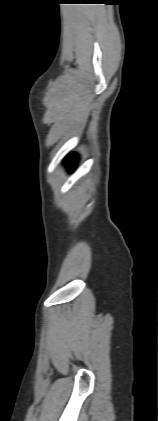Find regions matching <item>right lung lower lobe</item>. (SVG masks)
Listing matches in <instances>:
<instances>
[{
	"mask_svg": "<svg viewBox=\"0 0 158 421\" xmlns=\"http://www.w3.org/2000/svg\"><path fill=\"white\" fill-rule=\"evenodd\" d=\"M66 162H67V164H68L69 168H70V169H73L74 164H75V162H76V157H75L74 155H71V156H69V157L66 159Z\"/></svg>",
	"mask_w": 158,
	"mask_h": 421,
	"instance_id": "1",
	"label": "right lung lower lobe"
}]
</instances>
